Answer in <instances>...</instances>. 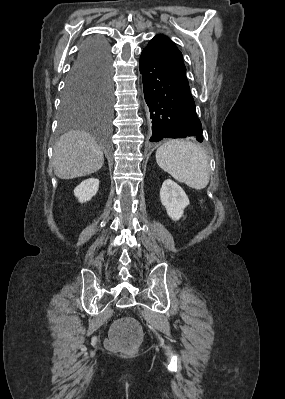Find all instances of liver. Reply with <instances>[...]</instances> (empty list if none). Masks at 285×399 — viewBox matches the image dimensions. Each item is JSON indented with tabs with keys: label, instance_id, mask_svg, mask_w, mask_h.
I'll use <instances>...</instances> for the list:
<instances>
[{
	"label": "liver",
	"instance_id": "liver-1",
	"mask_svg": "<svg viewBox=\"0 0 285 399\" xmlns=\"http://www.w3.org/2000/svg\"><path fill=\"white\" fill-rule=\"evenodd\" d=\"M52 163L61 179L90 175L103 166V148L89 133L70 131L55 144Z\"/></svg>",
	"mask_w": 285,
	"mask_h": 399
}]
</instances>
